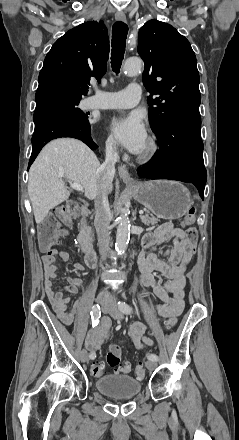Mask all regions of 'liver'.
<instances>
[{
	"label": "liver",
	"mask_w": 239,
	"mask_h": 440,
	"mask_svg": "<svg viewBox=\"0 0 239 440\" xmlns=\"http://www.w3.org/2000/svg\"><path fill=\"white\" fill-rule=\"evenodd\" d=\"M98 162L94 152L80 140L58 138L44 146L29 172L28 194L36 224H41L49 210L68 200L65 180L80 184L84 196L95 200L100 184ZM110 184L108 192H112Z\"/></svg>",
	"instance_id": "liver-1"
}]
</instances>
